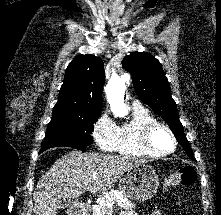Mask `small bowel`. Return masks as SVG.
<instances>
[{"instance_id":"1","label":"small bowel","mask_w":221,"mask_h":215,"mask_svg":"<svg viewBox=\"0 0 221 215\" xmlns=\"http://www.w3.org/2000/svg\"><path fill=\"white\" fill-rule=\"evenodd\" d=\"M120 215H137V214L134 213L133 211L125 210V211L121 212ZM150 215H161V213L158 210H152L150 212Z\"/></svg>"}]
</instances>
